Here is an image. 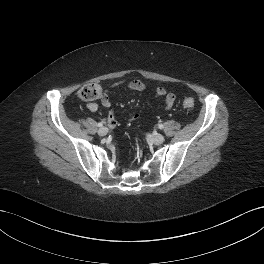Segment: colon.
Instances as JSON below:
<instances>
[{
  "mask_svg": "<svg viewBox=\"0 0 264 264\" xmlns=\"http://www.w3.org/2000/svg\"><path fill=\"white\" fill-rule=\"evenodd\" d=\"M78 96L81 100L90 102L97 99H100L103 96V89L99 84H88L83 86L79 92ZM195 105L194 100L192 98H186L183 101V106L185 108H193Z\"/></svg>",
  "mask_w": 264,
  "mask_h": 264,
  "instance_id": "5ec220e1",
  "label": "colon"
}]
</instances>
